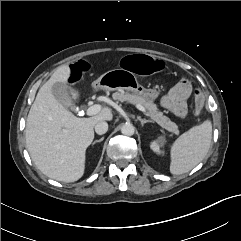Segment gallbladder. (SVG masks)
<instances>
[{
    "instance_id": "gallbladder-1",
    "label": "gallbladder",
    "mask_w": 241,
    "mask_h": 241,
    "mask_svg": "<svg viewBox=\"0 0 241 241\" xmlns=\"http://www.w3.org/2000/svg\"><path fill=\"white\" fill-rule=\"evenodd\" d=\"M52 93L56 100L64 107L68 108L72 106L69 90L62 83H56L52 86Z\"/></svg>"
}]
</instances>
